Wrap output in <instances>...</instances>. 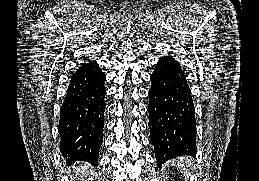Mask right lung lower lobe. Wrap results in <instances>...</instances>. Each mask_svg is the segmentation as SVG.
Returning a JSON list of instances; mask_svg holds the SVG:
<instances>
[{"mask_svg":"<svg viewBox=\"0 0 259 181\" xmlns=\"http://www.w3.org/2000/svg\"><path fill=\"white\" fill-rule=\"evenodd\" d=\"M105 75L97 62L82 63L72 75L60 110V151L67 161L95 164L103 142Z\"/></svg>","mask_w":259,"mask_h":181,"instance_id":"98d812e1","label":"right lung lower lobe"}]
</instances>
